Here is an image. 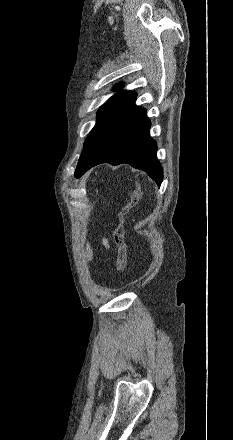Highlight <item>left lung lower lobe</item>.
<instances>
[{
    "label": "left lung lower lobe",
    "instance_id": "left-lung-lower-lobe-1",
    "mask_svg": "<svg viewBox=\"0 0 233 440\" xmlns=\"http://www.w3.org/2000/svg\"><path fill=\"white\" fill-rule=\"evenodd\" d=\"M136 98L107 126L84 161L77 166L75 177L100 163H127L145 171L160 186L163 170L157 159V145L149 136L151 123L146 110L135 105Z\"/></svg>",
    "mask_w": 233,
    "mask_h": 440
}]
</instances>
